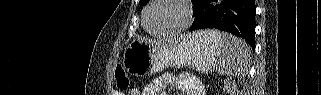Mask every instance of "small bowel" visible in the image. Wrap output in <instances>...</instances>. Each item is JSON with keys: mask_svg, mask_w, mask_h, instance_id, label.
I'll use <instances>...</instances> for the list:
<instances>
[{"mask_svg": "<svg viewBox=\"0 0 321 95\" xmlns=\"http://www.w3.org/2000/svg\"><path fill=\"white\" fill-rule=\"evenodd\" d=\"M128 95H139L138 91L132 90L127 93ZM143 95H165V91L160 87L159 84H151L146 90L142 92ZM204 90L202 86H198L194 90V95H203Z\"/></svg>", "mask_w": 321, "mask_h": 95, "instance_id": "1", "label": "small bowel"}]
</instances>
